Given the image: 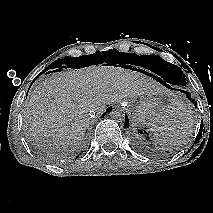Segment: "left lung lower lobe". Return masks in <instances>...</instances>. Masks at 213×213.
Returning <instances> with one entry per match:
<instances>
[{
    "label": "left lung lower lobe",
    "mask_w": 213,
    "mask_h": 213,
    "mask_svg": "<svg viewBox=\"0 0 213 213\" xmlns=\"http://www.w3.org/2000/svg\"><path fill=\"white\" fill-rule=\"evenodd\" d=\"M153 71L154 73H156L157 75L156 76H153L151 73H147L145 71H142L144 73H147L148 75L150 76H153V78L155 80H157L158 82H160L161 84H163L164 86L168 87V88H172L171 86L174 85L172 80L170 78H168L165 74L163 73H160L158 71H155V70H151ZM172 89H175V88H172ZM178 90V89H177ZM181 92L185 93L186 96L189 98V100L194 103V105L196 106V102H194V100L191 98V94L189 92H186V91H182L180 90ZM129 126V120H128V117L126 116L125 117V125L124 127H128Z\"/></svg>",
    "instance_id": "0a47b994"
}]
</instances>
